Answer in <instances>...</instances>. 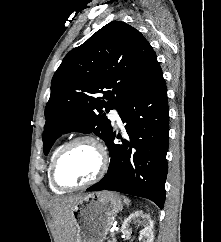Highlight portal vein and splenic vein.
<instances>
[{
	"mask_svg": "<svg viewBox=\"0 0 221 242\" xmlns=\"http://www.w3.org/2000/svg\"><path fill=\"white\" fill-rule=\"evenodd\" d=\"M115 228H112L110 231H111V236L113 237L115 235Z\"/></svg>",
	"mask_w": 221,
	"mask_h": 242,
	"instance_id": "obj_1",
	"label": "portal vein and splenic vein"
}]
</instances>
